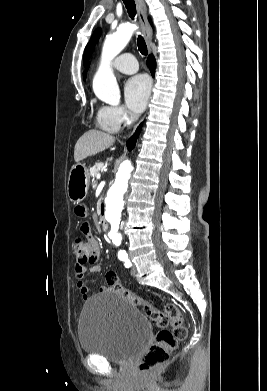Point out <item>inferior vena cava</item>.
Instances as JSON below:
<instances>
[{
    "label": "inferior vena cava",
    "instance_id": "1",
    "mask_svg": "<svg viewBox=\"0 0 267 391\" xmlns=\"http://www.w3.org/2000/svg\"><path fill=\"white\" fill-rule=\"evenodd\" d=\"M131 118L134 119V120H136V119L138 118V116L135 115V114H131Z\"/></svg>",
    "mask_w": 267,
    "mask_h": 391
}]
</instances>
